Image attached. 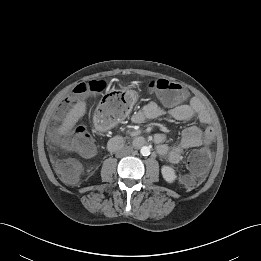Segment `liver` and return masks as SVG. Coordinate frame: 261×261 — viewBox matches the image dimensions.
<instances>
[{
  "label": "liver",
  "mask_w": 261,
  "mask_h": 261,
  "mask_svg": "<svg viewBox=\"0 0 261 261\" xmlns=\"http://www.w3.org/2000/svg\"><path fill=\"white\" fill-rule=\"evenodd\" d=\"M86 113V103L78 102L73 106V108L69 111L66 118L64 119L62 125L59 127V134L65 135L68 133L77 123V121L84 116Z\"/></svg>",
  "instance_id": "1"
}]
</instances>
